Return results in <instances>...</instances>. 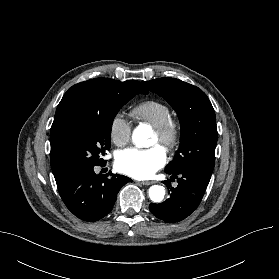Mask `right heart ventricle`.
I'll use <instances>...</instances> for the list:
<instances>
[{
  "label": "right heart ventricle",
  "instance_id": "right-heart-ventricle-1",
  "mask_svg": "<svg viewBox=\"0 0 279 279\" xmlns=\"http://www.w3.org/2000/svg\"><path fill=\"white\" fill-rule=\"evenodd\" d=\"M131 115L138 121L156 127L172 117L170 108L159 100H146L131 110Z\"/></svg>",
  "mask_w": 279,
  "mask_h": 279
}]
</instances>
